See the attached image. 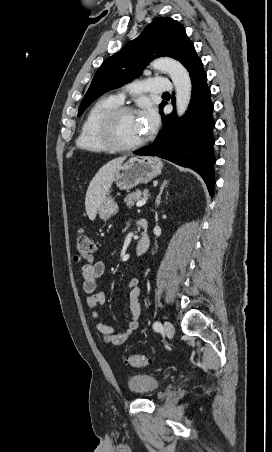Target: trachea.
<instances>
[{"mask_svg":"<svg viewBox=\"0 0 272 452\" xmlns=\"http://www.w3.org/2000/svg\"><path fill=\"white\" fill-rule=\"evenodd\" d=\"M167 94H169V92H165V93H163V95H167Z\"/></svg>","mask_w":272,"mask_h":452,"instance_id":"obj_1","label":"trachea"}]
</instances>
